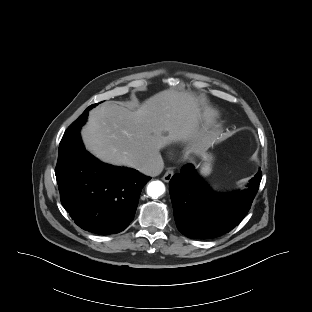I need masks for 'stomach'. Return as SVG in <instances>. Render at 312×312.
Returning <instances> with one entry per match:
<instances>
[{"instance_id":"stomach-1","label":"stomach","mask_w":312,"mask_h":312,"mask_svg":"<svg viewBox=\"0 0 312 312\" xmlns=\"http://www.w3.org/2000/svg\"><path fill=\"white\" fill-rule=\"evenodd\" d=\"M204 163L201 165L200 172L202 175H209L212 170V156L208 153H202Z\"/></svg>"}]
</instances>
